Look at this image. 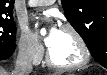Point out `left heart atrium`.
<instances>
[{
	"label": "left heart atrium",
	"instance_id": "obj_1",
	"mask_svg": "<svg viewBox=\"0 0 107 75\" xmlns=\"http://www.w3.org/2000/svg\"><path fill=\"white\" fill-rule=\"evenodd\" d=\"M59 32H60V30H58L54 26L49 28L47 35L44 38V42L49 49L54 45V43L59 35Z\"/></svg>",
	"mask_w": 107,
	"mask_h": 75
}]
</instances>
